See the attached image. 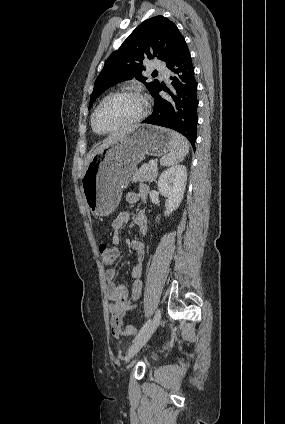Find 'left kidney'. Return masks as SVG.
Here are the masks:
<instances>
[{
	"label": "left kidney",
	"instance_id": "1",
	"mask_svg": "<svg viewBox=\"0 0 285 424\" xmlns=\"http://www.w3.org/2000/svg\"><path fill=\"white\" fill-rule=\"evenodd\" d=\"M187 181V170L184 165L172 166L161 173L158 179V189L167 198L165 216L176 210L184 197Z\"/></svg>",
	"mask_w": 285,
	"mask_h": 424
}]
</instances>
